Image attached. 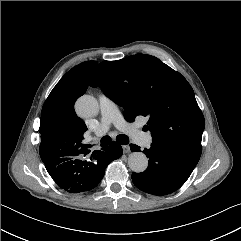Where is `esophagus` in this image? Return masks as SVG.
Segmentation results:
<instances>
[{"instance_id": "esophagus-1", "label": "esophagus", "mask_w": 241, "mask_h": 241, "mask_svg": "<svg viewBox=\"0 0 241 241\" xmlns=\"http://www.w3.org/2000/svg\"><path fill=\"white\" fill-rule=\"evenodd\" d=\"M122 148H123V152H124V153L127 154V153L130 152V147H129V145H123Z\"/></svg>"}]
</instances>
